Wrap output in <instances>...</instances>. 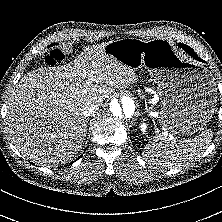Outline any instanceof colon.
<instances>
[{
  "label": "colon",
  "instance_id": "1",
  "mask_svg": "<svg viewBox=\"0 0 222 222\" xmlns=\"http://www.w3.org/2000/svg\"><path fill=\"white\" fill-rule=\"evenodd\" d=\"M64 59V55L58 50H48L45 56V62L49 65L57 64Z\"/></svg>",
  "mask_w": 222,
  "mask_h": 222
}]
</instances>
